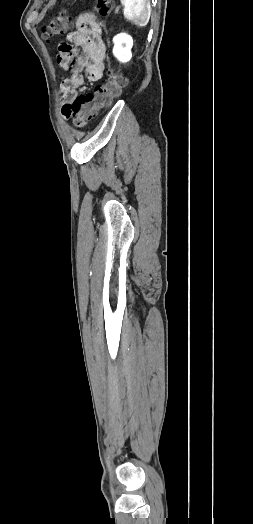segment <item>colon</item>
<instances>
[{
  "label": "colon",
  "mask_w": 253,
  "mask_h": 524,
  "mask_svg": "<svg viewBox=\"0 0 253 524\" xmlns=\"http://www.w3.org/2000/svg\"><path fill=\"white\" fill-rule=\"evenodd\" d=\"M112 4L113 0H96L94 15H107ZM71 26L72 17L67 11H62L42 27V39L50 42L58 36L65 35ZM107 75L109 80L104 86L97 87L94 93L78 96L72 104L63 107V115L72 121L74 127H84L100 107L108 104L127 86L126 78L114 69H108Z\"/></svg>",
  "instance_id": "5ec220e1"
}]
</instances>
